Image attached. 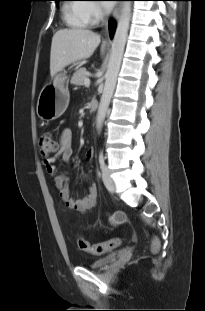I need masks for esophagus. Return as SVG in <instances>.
<instances>
[{"instance_id":"obj_1","label":"esophagus","mask_w":205,"mask_h":311,"mask_svg":"<svg viewBox=\"0 0 205 311\" xmlns=\"http://www.w3.org/2000/svg\"><path fill=\"white\" fill-rule=\"evenodd\" d=\"M121 9H122L121 4H118V5L115 7V9H114V11H113V14H112L113 19H118V18H119ZM103 43H104L105 45L110 44V43H111L110 38H109L108 36H106V38H105V40H104Z\"/></svg>"}]
</instances>
